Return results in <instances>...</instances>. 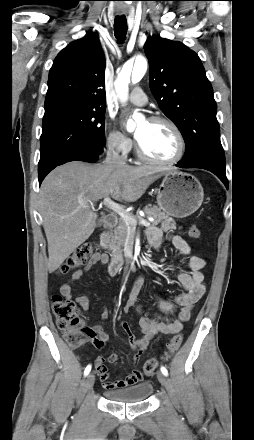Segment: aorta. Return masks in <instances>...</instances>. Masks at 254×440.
I'll list each match as a JSON object with an SVG mask.
<instances>
[{
    "instance_id": "obj_1",
    "label": "aorta",
    "mask_w": 254,
    "mask_h": 440,
    "mask_svg": "<svg viewBox=\"0 0 254 440\" xmlns=\"http://www.w3.org/2000/svg\"><path fill=\"white\" fill-rule=\"evenodd\" d=\"M147 71V61L144 57L136 58L135 62H127L123 65L120 73L115 81L116 91L121 101H126L128 95V85L130 81L139 82ZM137 115H133V119H137ZM133 119L127 122V130L133 131L136 124Z\"/></svg>"
}]
</instances>
